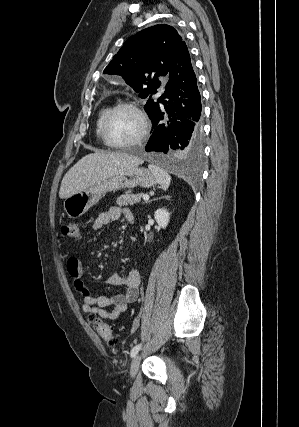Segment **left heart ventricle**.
<instances>
[{
  "instance_id": "b2bd125f",
  "label": "left heart ventricle",
  "mask_w": 299,
  "mask_h": 427,
  "mask_svg": "<svg viewBox=\"0 0 299 427\" xmlns=\"http://www.w3.org/2000/svg\"><path fill=\"white\" fill-rule=\"evenodd\" d=\"M141 128L138 116L128 109L116 111L109 120L107 133L112 142L125 143L134 139Z\"/></svg>"
}]
</instances>
